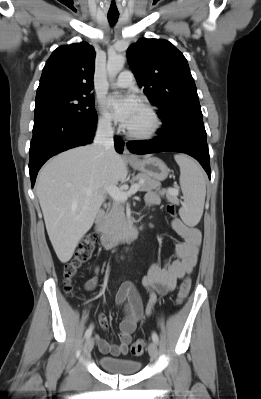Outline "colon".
Returning a JSON list of instances; mask_svg holds the SVG:
<instances>
[{
  "instance_id": "5ec220e1",
  "label": "colon",
  "mask_w": 261,
  "mask_h": 399,
  "mask_svg": "<svg viewBox=\"0 0 261 399\" xmlns=\"http://www.w3.org/2000/svg\"><path fill=\"white\" fill-rule=\"evenodd\" d=\"M166 212L174 217L176 215V208L173 204H166ZM97 238L94 234L87 235L83 242L81 243L79 249L75 253V256L65 265L64 267V281H65V291L69 296L74 294L73 288V278L76 276L78 271L90 261L93 256L96 247ZM191 288V279L186 277L178 290L177 303L181 304L187 297ZM146 347V342L144 340H136L131 345V353L133 355L143 354Z\"/></svg>"
}]
</instances>
